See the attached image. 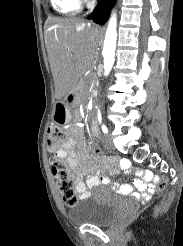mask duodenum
<instances>
[{"mask_svg": "<svg viewBox=\"0 0 183 246\" xmlns=\"http://www.w3.org/2000/svg\"><path fill=\"white\" fill-rule=\"evenodd\" d=\"M69 100H70V101H74V100H75V93H74V92H71V93L69 94Z\"/></svg>", "mask_w": 183, "mask_h": 246, "instance_id": "duodenum-1", "label": "duodenum"}]
</instances>
